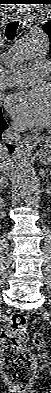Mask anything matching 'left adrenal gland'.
<instances>
[{"instance_id": "left-adrenal-gland-1", "label": "left adrenal gland", "mask_w": 51, "mask_h": 393, "mask_svg": "<svg viewBox=\"0 0 51 393\" xmlns=\"http://www.w3.org/2000/svg\"><path fill=\"white\" fill-rule=\"evenodd\" d=\"M42 170H43V169H42ZM46 182H47V188H48V189H46V192L49 193V191H50V183H49L48 180H46Z\"/></svg>"}]
</instances>
